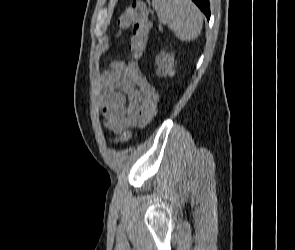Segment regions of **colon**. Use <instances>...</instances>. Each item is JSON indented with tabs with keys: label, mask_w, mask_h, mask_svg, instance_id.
I'll return each mask as SVG.
<instances>
[{
	"label": "colon",
	"mask_w": 295,
	"mask_h": 250,
	"mask_svg": "<svg viewBox=\"0 0 295 250\" xmlns=\"http://www.w3.org/2000/svg\"><path fill=\"white\" fill-rule=\"evenodd\" d=\"M120 29L132 27L129 51L130 60L124 68V76L133 81L142 93L143 114L140 126L148 125L157 111L158 97L154 88L142 76L138 67V61L146 48L150 22L148 12L143 2L134 1L118 19Z\"/></svg>",
	"instance_id": "1"
}]
</instances>
